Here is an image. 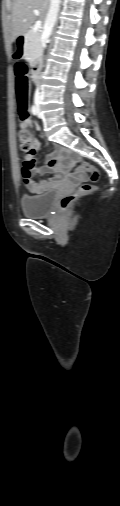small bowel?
I'll list each match as a JSON object with an SVG mask.
<instances>
[{
	"label": "small bowel",
	"instance_id": "obj_1",
	"mask_svg": "<svg viewBox=\"0 0 120 506\" xmlns=\"http://www.w3.org/2000/svg\"><path fill=\"white\" fill-rule=\"evenodd\" d=\"M30 121L21 124L22 127H29ZM39 145V143H38ZM76 154L69 149L56 148V151L48 154L43 162H40L34 169L28 170L23 168L24 183L27 189L32 193H41L47 189L50 182L57 183L66 178V172L72 169L76 161ZM53 173L54 177L51 180H43L36 182L34 180L35 174ZM74 182H80L87 179L86 174L82 172H75L71 175Z\"/></svg>",
	"mask_w": 120,
	"mask_h": 506
}]
</instances>
